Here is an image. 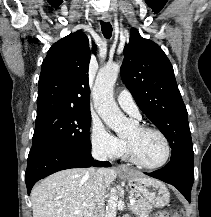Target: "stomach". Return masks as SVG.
I'll return each mask as SVG.
<instances>
[{"instance_id":"stomach-1","label":"stomach","mask_w":211,"mask_h":217,"mask_svg":"<svg viewBox=\"0 0 211 217\" xmlns=\"http://www.w3.org/2000/svg\"><path fill=\"white\" fill-rule=\"evenodd\" d=\"M130 188L151 205L161 208L169 203L170 194L165 184L157 179L149 178L137 172L123 173Z\"/></svg>"}]
</instances>
